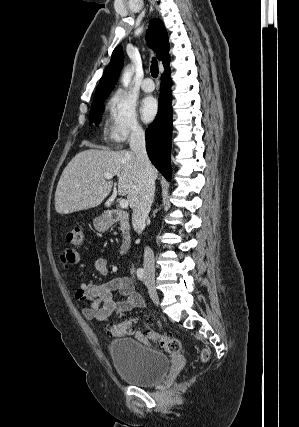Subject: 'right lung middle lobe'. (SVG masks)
I'll list each match as a JSON object with an SVG mask.
<instances>
[{"label":"right lung middle lobe","mask_w":299,"mask_h":427,"mask_svg":"<svg viewBox=\"0 0 299 427\" xmlns=\"http://www.w3.org/2000/svg\"><path fill=\"white\" fill-rule=\"evenodd\" d=\"M107 98V96L99 97L93 99L91 110H90V123L94 122L98 124L101 120V114L104 110L103 101Z\"/></svg>","instance_id":"right-lung-middle-lobe-1"}]
</instances>
